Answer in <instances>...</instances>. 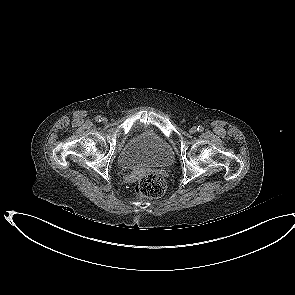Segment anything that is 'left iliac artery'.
Here are the masks:
<instances>
[{
	"label": "left iliac artery",
	"mask_w": 295,
	"mask_h": 295,
	"mask_svg": "<svg viewBox=\"0 0 295 295\" xmlns=\"http://www.w3.org/2000/svg\"><path fill=\"white\" fill-rule=\"evenodd\" d=\"M204 130V127L202 126V125H199L198 127H197V131L198 132H202Z\"/></svg>",
	"instance_id": "1"
}]
</instances>
